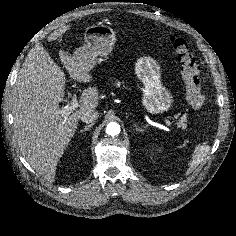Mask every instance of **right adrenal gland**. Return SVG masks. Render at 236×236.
I'll use <instances>...</instances> for the list:
<instances>
[{"label": "right adrenal gland", "mask_w": 236, "mask_h": 236, "mask_svg": "<svg viewBox=\"0 0 236 236\" xmlns=\"http://www.w3.org/2000/svg\"><path fill=\"white\" fill-rule=\"evenodd\" d=\"M94 125V123H91L89 125H86L83 129L80 130V133H83L85 131H89L90 128Z\"/></svg>", "instance_id": "right-adrenal-gland-1"}]
</instances>
